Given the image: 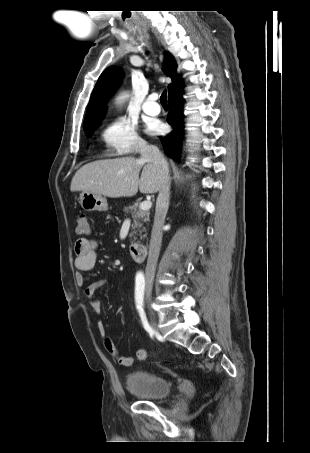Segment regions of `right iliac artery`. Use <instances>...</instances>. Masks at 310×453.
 Returning a JSON list of instances; mask_svg holds the SVG:
<instances>
[{
	"instance_id": "1",
	"label": "right iliac artery",
	"mask_w": 310,
	"mask_h": 453,
	"mask_svg": "<svg viewBox=\"0 0 310 453\" xmlns=\"http://www.w3.org/2000/svg\"><path fill=\"white\" fill-rule=\"evenodd\" d=\"M144 288H145L144 275L142 273H138L136 275V280H135V302H136V307L140 313L143 312Z\"/></svg>"
}]
</instances>
